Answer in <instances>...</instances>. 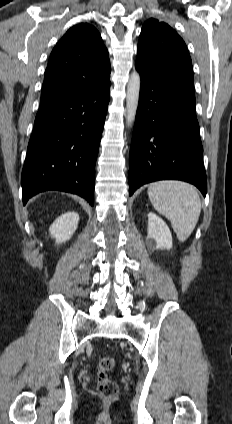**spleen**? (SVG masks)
I'll use <instances>...</instances> for the list:
<instances>
[{
	"instance_id": "spleen-1",
	"label": "spleen",
	"mask_w": 232,
	"mask_h": 424,
	"mask_svg": "<svg viewBox=\"0 0 232 424\" xmlns=\"http://www.w3.org/2000/svg\"><path fill=\"white\" fill-rule=\"evenodd\" d=\"M154 208L172 225L180 242L194 230L201 212V201L196 187L176 180L154 182L148 187Z\"/></svg>"
}]
</instances>
